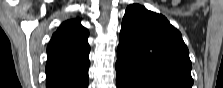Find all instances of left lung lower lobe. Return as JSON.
Masks as SVG:
<instances>
[{
	"mask_svg": "<svg viewBox=\"0 0 223 88\" xmlns=\"http://www.w3.org/2000/svg\"><path fill=\"white\" fill-rule=\"evenodd\" d=\"M117 88H150L146 83L138 79L129 71L116 64Z\"/></svg>",
	"mask_w": 223,
	"mask_h": 88,
	"instance_id": "obj_1",
	"label": "left lung lower lobe"
}]
</instances>
